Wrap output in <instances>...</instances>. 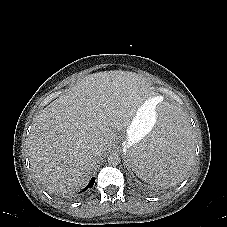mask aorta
<instances>
[{
	"mask_svg": "<svg viewBox=\"0 0 227 227\" xmlns=\"http://www.w3.org/2000/svg\"><path fill=\"white\" fill-rule=\"evenodd\" d=\"M121 162V158L117 153H111L108 156V163L110 165L116 166Z\"/></svg>",
	"mask_w": 227,
	"mask_h": 227,
	"instance_id": "1",
	"label": "aorta"
}]
</instances>
